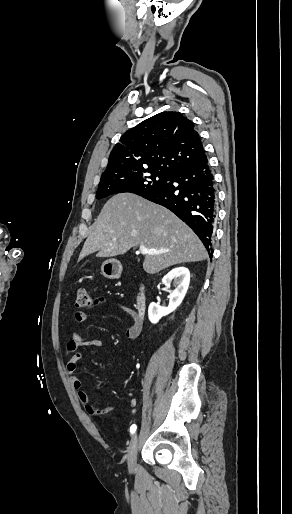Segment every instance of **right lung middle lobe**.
Here are the masks:
<instances>
[{"label":"right lung middle lobe","mask_w":292,"mask_h":514,"mask_svg":"<svg viewBox=\"0 0 292 514\" xmlns=\"http://www.w3.org/2000/svg\"><path fill=\"white\" fill-rule=\"evenodd\" d=\"M170 174L152 171L136 175L120 176L101 180L96 198L101 199L115 193L130 192L145 195L162 186L170 178Z\"/></svg>","instance_id":"dd1d6c3e"}]
</instances>
